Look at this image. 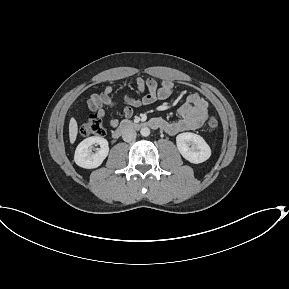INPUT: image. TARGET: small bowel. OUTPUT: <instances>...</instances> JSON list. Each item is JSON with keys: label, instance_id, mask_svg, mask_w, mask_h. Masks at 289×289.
<instances>
[{"label": "small bowel", "instance_id": "1", "mask_svg": "<svg viewBox=\"0 0 289 289\" xmlns=\"http://www.w3.org/2000/svg\"><path fill=\"white\" fill-rule=\"evenodd\" d=\"M134 84L138 92L142 93L147 90V93L141 98H134L129 95L124 96L125 107L122 113L126 118L132 117L136 108L151 105L156 101L166 100L171 95L174 87L172 81L164 80L158 83L153 78L146 80L136 78ZM113 91L112 86H107L102 92L92 94L88 99L90 111L95 113L99 118L105 117V108L116 105L112 99ZM178 116L179 118L175 121H167L162 118H155V120L159 122V128L170 135L197 130L209 116L207 100L198 93L190 94L186 103L179 108ZM108 124L111 127H116L118 120L116 118H109Z\"/></svg>", "mask_w": 289, "mask_h": 289}]
</instances>
